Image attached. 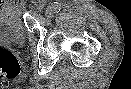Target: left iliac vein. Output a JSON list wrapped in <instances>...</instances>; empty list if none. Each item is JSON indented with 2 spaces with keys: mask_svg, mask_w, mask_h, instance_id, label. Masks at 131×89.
<instances>
[{
  "mask_svg": "<svg viewBox=\"0 0 131 89\" xmlns=\"http://www.w3.org/2000/svg\"><path fill=\"white\" fill-rule=\"evenodd\" d=\"M53 14V8L51 6H48L45 10V15L47 17H50Z\"/></svg>",
  "mask_w": 131,
  "mask_h": 89,
  "instance_id": "1",
  "label": "left iliac vein"
}]
</instances>
